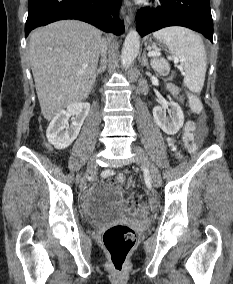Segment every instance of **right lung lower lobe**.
<instances>
[{
    "mask_svg": "<svg viewBox=\"0 0 233 284\" xmlns=\"http://www.w3.org/2000/svg\"><path fill=\"white\" fill-rule=\"evenodd\" d=\"M120 5L121 0H29L25 36L36 27L63 19L82 20L119 35L124 30L118 17Z\"/></svg>",
    "mask_w": 233,
    "mask_h": 284,
    "instance_id": "1",
    "label": "right lung lower lobe"
}]
</instances>
